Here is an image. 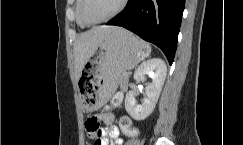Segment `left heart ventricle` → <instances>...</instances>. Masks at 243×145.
I'll use <instances>...</instances> for the list:
<instances>
[{
    "label": "left heart ventricle",
    "mask_w": 243,
    "mask_h": 145,
    "mask_svg": "<svg viewBox=\"0 0 243 145\" xmlns=\"http://www.w3.org/2000/svg\"><path fill=\"white\" fill-rule=\"evenodd\" d=\"M122 0H87L85 15L90 22L102 20L112 14Z\"/></svg>",
    "instance_id": "1"
}]
</instances>
